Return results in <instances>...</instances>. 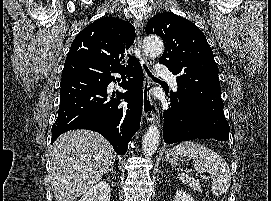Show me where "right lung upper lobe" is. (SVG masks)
<instances>
[{
  "instance_id": "obj_1",
  "label": "right lung upper lobe",
  "mask_w": 271,
  "mask_h": 201,
  "mask_svg": "<svg viewBox=\"0 0 271 201\" xmlns=\"http://www.w3.org/2000/svg\"><path fill=\"white\" fill-rule=\"evenodd\" d=\"M134 38L135 29L129 22L119 18L102 17L77 35L66 60L84 58L106 66L125 67L121 61L125 50L133 44ZM137 62L134 56H129L128 66Z\"/></svg>"
}]
</instances>
